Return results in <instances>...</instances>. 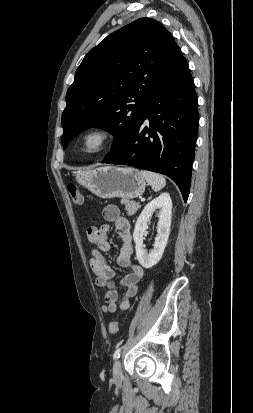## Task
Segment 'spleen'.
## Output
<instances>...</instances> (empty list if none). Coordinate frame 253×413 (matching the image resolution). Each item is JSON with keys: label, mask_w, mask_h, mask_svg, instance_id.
I'll return each instance as SVG.
<instances>
[{"label": "spleen", "mask_w": 253, "mask_h": 413, "mask_svg": "<svg viewBox=\"0 0 253 413\" xmlns=\"http://www.w3.org/2000/svg\"><path fill=\"white\" fill-rule=\"evenodd\" d=\"M140 173L154 191H159L166 185L165 178L160 174L146 170H141Z\"/></svg>", "instance_id": "3e777b00"}]
</instances>
